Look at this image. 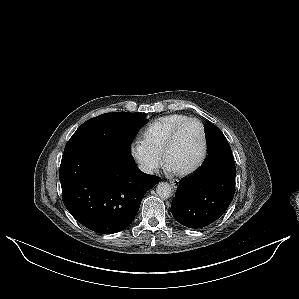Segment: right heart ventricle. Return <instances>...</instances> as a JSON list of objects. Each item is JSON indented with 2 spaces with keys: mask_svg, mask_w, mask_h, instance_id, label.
I'll use <instances>...</instances> for the list:
<instances>
[{
  "mask_svg": "<svg viewBox=\"0 0 299 299\" xmlns=\"http://www.w3.org/2000/svg\"><path fill=\"white\" fill-rule=\"evenodd\" d=\"M190 119L184 114H170L153 122L144 133L147 149L156 156H161L171 133L182 123Z\"/></svg>",
  "mask_w": 299,
  "mask_h": 299,
  "instance_id": "right-heart-ventricle-1",
  "label": "right heart ventricle"
}]
</instances>
